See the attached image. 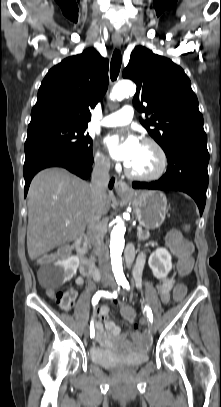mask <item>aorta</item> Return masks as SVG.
Segmentation results:
<instances>
[{"instance_id":"obj_1","label":"aorta","mask_w":221,"mask_h":407,"mask_svg":"<svg viewBox=\"0 0 221 407\" xmlns=\"http://www.w3.org/2000/svg\"><path fill=\"white\" fill-rule=\"evenodd\" d=\"M135 92L136 85L134 83L131 81H120L112 89L110 97L112 100H122L125 97L134 95ZM125 216L126 214L123 215V217ZM125 231L126 228L124 222L121 218H119L117 224L114 226L111 232L110 239L111 265L117 281L125 279L122 265V252L125 245Z\"/></svg>"}]
</instances>
